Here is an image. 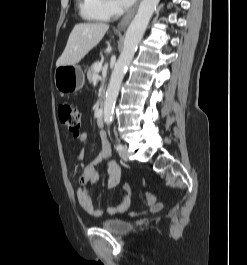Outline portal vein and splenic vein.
<instances>
[{
  "instance_id": "18ae733b",
  "label": "portal vein and splenic vein",
  "mask_w": 247,
  "mask_h": 265,
  "mask_svg": "<svg viewBox=\"0 0 247 265\" xmlns=\"http://www.w3.org/2000/svg\"><path fill=\"white\" fill-rule=\"evenodd\" d=\"M101 68H102L101 65H97L96 68H95V69H96V72L98 73V72L101 70ZM97 78H98V75H95V76L93 77L94 80H97Z\"/></svg>"
}]
</instances>
